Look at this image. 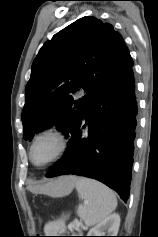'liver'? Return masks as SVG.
Wrapping results in <instances>:
<instances>
[{
	"label": "liver",
	"instance_id": "6515ba94",
	"mask_svg": "<svg viewBox=\"0 0 158 237\" xmlns=\"http://www.w3.org/2000/svg\"><path fill=\"white\" fill-rule=\"evenodd\" d=\"M76 180H77V177L75 176H65L44 185H37L34 187H30V189L35 193H42V194L54 196L59 189L65 186H68L71 184L75 186Z\"/></svg>",
	"mask_w": 158,
	"mask_h": 237
}]
</instances>
